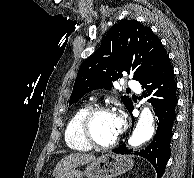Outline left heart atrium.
<instances>
[{
	"mask_svg": "<svg viewBox=\"0 0 194 178\" xmlns=\"http://www.w3.org/2000/svg\"><path fill=\"white\" fill-rule=\"evenodd\" d=\"M114 116H115V120H114L115 130L117 134H119L120 132H122L124 128L125 121H124V118L120 115H114Z\"/></svg>",
	"mask_w": 194,
	"mask_h": 178,
	"instance_id": "1",
	"label": "left heart atrium"
}]
</instances>
